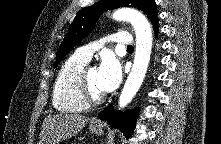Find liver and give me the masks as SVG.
I'll list each match as a JSON object with an SVG mask.
<instances>
[{
    "label": "liver",
    "mask_w": 221,
    "mask_h": 144,
    "mask_svg": "<svg viewBox=\"0 0 221 144\" xmlns=\"http://www.w3.org/2000/svg\"><path fill=\"white\" fill-rule=\"evenodd\" d=\"M88 117L76 113L49 115L44 119L39 144H59L81 131Z\"/></svg>",
    "instance_id": "6515ba94"
}]
</instances>
